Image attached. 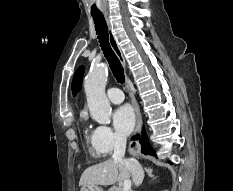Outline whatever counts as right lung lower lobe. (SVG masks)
<instances>
[{"label": "right lung lower lobe", "mask_w": 233, "mask_h": 191, "mask_svg": "<svg viewBox=\"0 0 233 191\" xmlns=\"http://www.w3.org/2000/svg\"><path fill=\"white\" fill-rule=\"evenodd\" d=\"M133 139L135 140L136 137H133ZM140 142L142 144V153H144L145 155L156 156L155 152L153 151V149L150 147V145L148 143L145 132H143V137H142Z\"/></svg>", "instance_id": "obj_1"}]
</instances>
